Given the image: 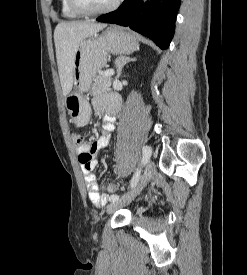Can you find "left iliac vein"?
<instances>
[{
  "label": "left iliac vein",
  "instance_id": "4c4485c4",
  "mask_svg": "<svg viewBox=\"0 0 247 275\" xmlns=\"http://www.w3.org/2000/svg\"><path fill=\"white\" fill-rule=\"evenodd\" d=\"M155 174H156L155 164L153 161L150 160L146 165V168L144 170V173L141 177L139 184L129 194L123 196L121 199L111 202L107 207V212L113 213L117 209L125 205L127 202L135 198L142 191V189L151 181V179L155 176Z\"/></svg>",
  "mask_w": 247,
  "mask_h": 275
}]
</instances>
